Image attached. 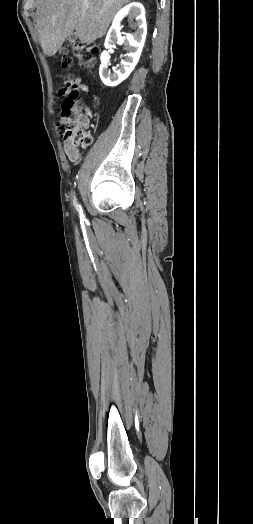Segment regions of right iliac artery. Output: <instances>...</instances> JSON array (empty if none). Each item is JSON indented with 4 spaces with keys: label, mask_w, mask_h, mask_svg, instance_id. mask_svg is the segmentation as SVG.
I'll return each mask as SVG.
<instances>
[{
    "label": "right iliac artery",
    "mask_w": 253,
    "mask_h": 524,
    "mask_svg": "<svg viewBox=\"0 0 253 524\" xmlns=\"http://www.w3.org/2000/svg\"><path fill=\"white\" fill-rule=\"evenodd\" d=\"M74 205H75L77 211H78V212L80 213V215L82 216L83 213H82V208H81V206H80L76 201H74Z\"/></svg>",
    "instance_id": "82829eb1"
}]
</instances>
